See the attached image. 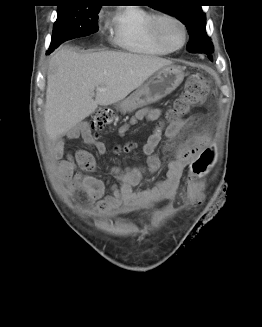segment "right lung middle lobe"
<instances>
[{
    "mask_svg": "<svg viewBox=\"0 0 262 327\" xmlns=\"http://www.w3.org/2000/svg\"><path fill=\"white\" fill-rule=\"evenodd\" d=\"M94 3V1L66 2L58 6L57 20L47 54L66 40L97 32L100 6Z\"/></svg>",
    "mask_w": 262,
    "mask_h": 327,
    "instance_id": "obj_1",
    "label": "right lung middle lobe"
}]
</instances>
